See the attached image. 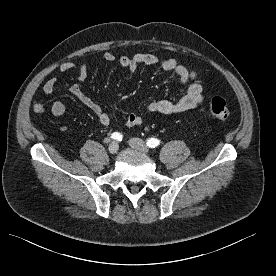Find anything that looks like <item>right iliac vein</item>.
Segmentation results:
<instances>
[{"label":"right iliac vein","mask_w":276,"mask_h":276,"mask_svg":"<svg viewBox=\"0 0 276 276\" xmlns=\"http://www.w3.org/2000/svg\"><path fill=\"white\" fill-rule=\"evenodd\" d=\"M119 145L116 141L110 143L108 150L111 154H116L118 152Z\"/></svg>","instance_id":"63e3f726"}]
</instances>
